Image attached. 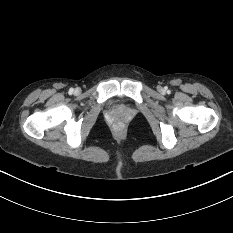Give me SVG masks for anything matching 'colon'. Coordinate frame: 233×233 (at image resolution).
Returning a JSON list of instances; mask_svg holds the SVG:
<instances>
[{
    "instance_id": "1",
    "label": "colon",
    "mask_w": 233,
    "mask_h": 233,
    "mask_svg": "<svg viewBox=\"0 0 233 233\" xmlns=\"http://www.w3.org/2000/svg\"><path fill=\"white\" fill-rule=\"evenodd\" d=\"M114 127L119 130L122 128V125L120 123H116Z\"/></svg>"
}]
</instances>
